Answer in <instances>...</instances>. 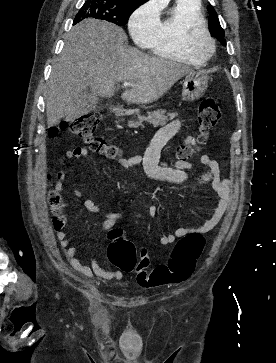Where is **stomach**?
Here are the masks:
<instances>
[{
  "label": "stomach",
  "mask_w": 276,
  "mask_h": 363,
  "mask_svg": "<svg viewBox=\"0 0 276 363\" xmlns=\"http://www.w3.org/2000/svg\"><path fill=\"white\" fill-rule=\"evenodd\" d=\"M208 86V77L192 72L186 75L183 80L182 99L187 102H193L200 99Z\"/></svg>",
  "instance_id": "obj_1"
}]
</instances>
